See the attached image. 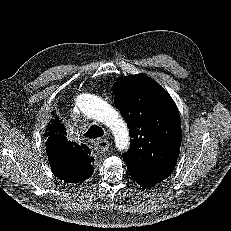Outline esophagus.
I'll use <instances>...</instances> for the list:
<instances>
[{
	"label": "esophagus",
	"mask_w": 231,
	"mask_h": 231,
	"mask_svg": "<svg viewBox=\"0 0 231 231\" xmlns=\"http://www.w3.org/2000/svg\"><path fill=\"white\" fill-rule=\"evenodd\" d=\"M109 145L107 139H98L95 143V150L98 152H105L109 148Z\"/></svg>",
	"instance_id": "obj_1"
}]
</instances>
